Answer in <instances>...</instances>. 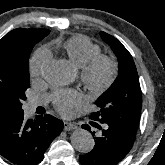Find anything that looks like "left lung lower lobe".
I'll list each match as a JSON object with an SVG mask.
<instances>
[{
    "label": "left lung lower lobe",
    "instance_id": "1",
    "mask_svg": "<svg viewBox=\"0 0 165 165\" xmlns=\"http://www.w3.org/2000/svg\"><path fill=\"white\" fill-rule=\"evenodd\" d=\"M91 125L100 129L98 136L92 133L95 139L94 148L85 155L79 156L82 165H116L130 151L133 146L136 132L125 129L113 123L91 122ZM83 128L90 131L88 125Z\"/></svg>",
    "mask_w": 165,
    "mask_h": 165
}]
</instances>
